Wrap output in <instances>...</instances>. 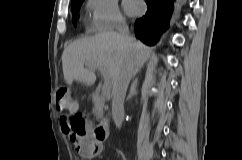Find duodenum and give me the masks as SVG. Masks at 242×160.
<instances>
[{"label":"duodenum","instance_id":"1","mask_svg":"<svg viewBox=\"0 0 242 160\" xmlns=\"http://www.w3.org/2000/svg\"><path fill=\"white\" fill-rule=\"evenodd\" d=\"M92 97H93L94 104L98 108H101L102 101H101L100 94L97 91H94ZM109 131H110L109 124L105 120H101L91 129L92 136L97 142H105L109 137Z\"/></svg>","mask_w":242,"mask_h":160}]
</instances>
